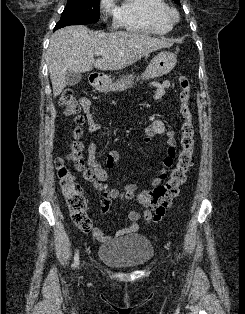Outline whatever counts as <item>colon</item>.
I'll return each mask as SVG.
<instances>
[{
  "mask_svg": "<svg viewBox=\"0 0 245 314\" xmlns=\"http://www.w3.org/2000/svg\"><path fill=\"white\" fill-rule=\"evenodd\" d=\"M179 85L181 88L179 94L180 114L183 117L180 139L182 150L166 182L158 185L151 191H144L138 195L140 203L147 210L156 214L165 213L173 199L178 196L181 186L186 180L187 172L193 164L194 127L188 105L190 79L186 75H181L179 77ZM82 99H77L71 89H65L60 96L59 103L65 108L67 115L71 118L73 129L67 159L57 158L55 166L71 220L79 230L90 232L92 230V222L86 212V197L81 191L80 184L77 182L76 173H80L84 182L92 184L98 196L110 204L119 197V194L101 183L95 171L86 167L83 161V144L80 141L83 123V117L80 114ZM126 196L132 197L133 195L126 194Z\"/></svg>",
  "mask_w": 245,
  "mask_h": 314,
  "instance_id": "1",
  "label": "colon"
}]
</instances>
